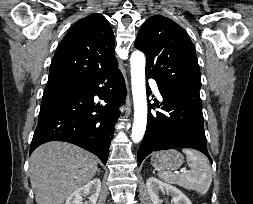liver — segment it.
Returning <instances> with one entry per match:
<instances>
[{
  "instance_id": "6515ba94",
  "label": "liver",
  "mask_w": 253,
  "mask_h": 204,
  "mask_svg": "<svg viewBox=\"0 0 253 204\" xmlns=\"http://www.w3.org/2000/svg\"><path fill=\"white\" fill-rule=\"evenodd\" d=\"M30 183L37 204H63L98 171L96 158L66 142H48L30 157Z\"/></svg>"
}]
</instances>
